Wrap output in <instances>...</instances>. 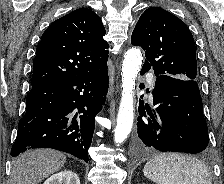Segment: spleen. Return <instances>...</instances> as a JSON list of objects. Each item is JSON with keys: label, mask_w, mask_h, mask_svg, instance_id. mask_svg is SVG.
<instances>
[{"label": "spleen", "mask_w": 224, "mask_h": 184, "mask_svg": "<svg viewBox=\"0 0 224 184\" xmlns=\"http://www.w3.org/2000/svg\"><path fill=\"white\" fill-rule=\"evenodd\" d=\"M143 173L157 184H212L208 168L200 160L179 153L154 156Z\"/></svg>", "instance_id": "spleen-1"}]
</instances>
